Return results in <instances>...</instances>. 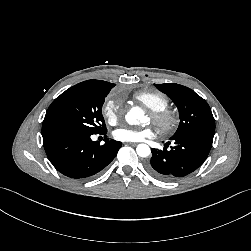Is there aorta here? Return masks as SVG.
<instances>
[{
  "label": "aorta",
  "mask_w": 251,
  "mask_h": 251,
  "mask_svg": "<svg viewBox=\"0 0 251 251\" xmlns=\"http://www.w3.org/2000/svg\"><path fill=\"white\" fill-rule=\"evenodd\" d=\"M126 121L130 125L138 124L144 118V112L139 107H133L126 114ZM136 152L140 157H148L151 153L150 147L147 144H139Z\"/></svg>",
  "instance_id": "aorta-1"
}]
</instances>
